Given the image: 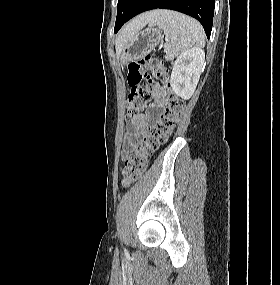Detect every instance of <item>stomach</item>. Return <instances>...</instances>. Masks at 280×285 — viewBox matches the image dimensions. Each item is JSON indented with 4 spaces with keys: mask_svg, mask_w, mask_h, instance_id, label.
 I'll return each mask as SVG.
<instances>
[{
    "mask_svg": "<svg viewBox=\"0 0 280 285\" xmlns=\"http://www.w3.org/2000/svg\"><path fill=\"white\" fill-rule=\"evenodd\" d=\"M161 39V30L154 26L138 31L124 43L121 61L126 63L143 58L160 43Z\"/></svg>",
    "mask_w": 280,
    "mask_h": 285,
    "instance_id": "obj_1",
    "label": "stomach"
}]
</instances>
